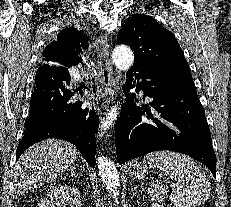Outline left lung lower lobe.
<instances>
[{"label": "left lung lower lobe", "mask_w": 231, "mask_h": 207, "mask_svg": "<svg viewBox=\"0 0 231 207\" xmlns=\"http://www.w3.org/2000/svg\"><path fill=\"white\" fill-rule=\"evenodd\" d=\"M123 87L144 91L153 98L151 109L136 106L135 94H126L115 127L120 164L158 150L187 154L205 164L216 177V157L203 107L193 81L179 83L167 72L147 64L133 65ZM148 107V105H146Z\"/></svg>", "instance_id": "0a47b994"}]
</instances>
